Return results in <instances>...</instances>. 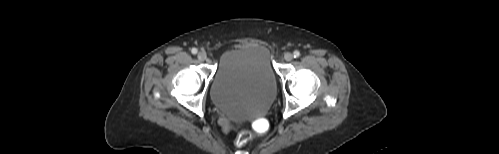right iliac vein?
I'll use <instances>...</instances> for the list:
<instances>
[{
    "label": "right iliac vein",
    "instance_id": "63e3f726",
    "mask_svg": "<svg viewBox=\"0 0 499 154\" xmlns=\"http://www.w3.org/2000/svg\"><path fill=\"white\" fill-rule=\"evenodd\" d=\"M197 57H198V59H199L200 61H205V60L207 59V55H206V53H205V52H203V51H202V52H199Z\"/></svg>",
    "mask_w": 499,
    "mask_h": 154
}]
</instances>
